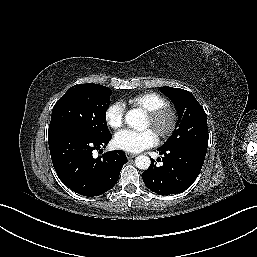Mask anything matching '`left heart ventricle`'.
<instances>
[{"label": "left heart ventricle", "mask_w": 257, "mask_h": 257, "mask_svg": "<svg viewBox=\"0 0 257 257\" xmlns=\"http://www.w3.org/2000/svg\"><path fill=\"white\" fill-rule=\"evenodd\" d=\"M146 127H151L150 121L148 120V118L146 119Z\"/></svg>", "instance_id": "b2bd125f"}]
</instances>
